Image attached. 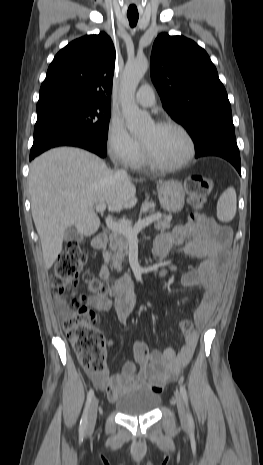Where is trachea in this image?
<instances>
[{
    "label": "trachea",
    "instance_id": "1",
    "mask_svg": "<svg viewBox=\"0 0 263 465\" xmlns=\"http://www.w3.org/2000/svg\"><path fill=\"white\" fill-rule=\"evenodd\" d=\"M138 18H139L138 16H128V20H129L131 27L136 26Z\"/></svg>",
    "mask_w": 263,
    "mask_h": 465
}]
</instances>
